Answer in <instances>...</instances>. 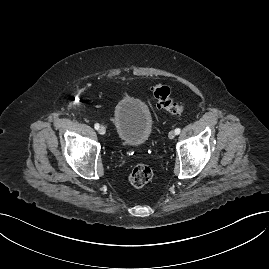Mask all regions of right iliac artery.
I'll use <instances>...</instances> for the list:
<instances>
[{
    "label": "right iliac artery",
    "instance_id": "right-iliac-artery-1",
    "mask_svg": "<svg viewBox=\"0 0 269 269\" xmlns=\"http://www.w3.org/2000/svg\"><path fill=\"white\" fill-rule=\"evenodd\" d=\"M94 128H95L96 130H98V129H99V124L96 123V124L94 125Z\"/></svg>",
    "mask_w": 269,
    "mask_h": 269
}]
</instances>
